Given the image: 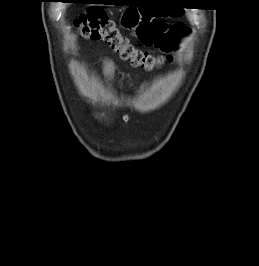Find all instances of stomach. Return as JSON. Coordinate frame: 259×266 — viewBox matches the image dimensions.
I'll return each instance as SVG.
<instances>
[{"instance_id": "0dacf381", "label": "stomach", "mask_w": 259, "mask_h": 266, "mask_svg": "<svg viewBox=\"0 0 259 266\" xmlns=\"http://www.w3.org/2000/svg\"><path fill=\"white\" fill-rule=\"evenodd\" d=\"M138 21L139 19L137 20V23ZM137 23L135 22V15L133 14V11L126 9L123 13L121 24L128 29H134L137 26Z\"/></svg>"}]
</instances>
